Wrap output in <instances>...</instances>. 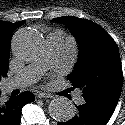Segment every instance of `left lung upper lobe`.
<instances>
[{"instance_id":"obj_1","label":"left lung upper lobe","mask_w":125,"mask_h":125,"mask_svg":"<svg viewBox=\"0 0 125 125\" xmlns=\"http://www.w3.org/2000/svg\"><path fill=\"white\" fill-rule=\"evenodd\" d=\"M65 22L79 44V59L68 75L74 88L82 90L85 102L115 103L123 85L118 46L98 24L74 16L54 18Z\"/></svg>"}]
</instances>
